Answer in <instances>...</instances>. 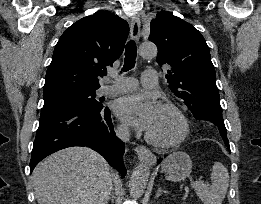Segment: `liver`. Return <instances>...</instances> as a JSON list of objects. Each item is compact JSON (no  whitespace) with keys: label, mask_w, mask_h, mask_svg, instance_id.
<instances>
[{"label":"liver","mask_w":261,"mask_h":204,"mask_svg":"<svg viewBox=\"0 0 261 204\" xmlns=\"http://www.w3.org/2000/svg\"><path fill=\"white\" fill-rule=\"evenodd\" d=\"M38 204H107L110 166L88 147H69L39 163L32 174Z\"/></svg>","instance_id":"liver-1"}]
</instances>
